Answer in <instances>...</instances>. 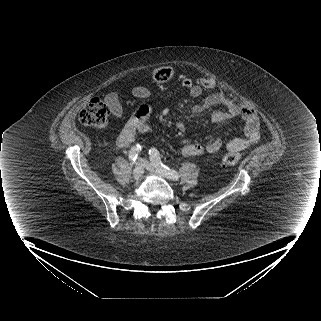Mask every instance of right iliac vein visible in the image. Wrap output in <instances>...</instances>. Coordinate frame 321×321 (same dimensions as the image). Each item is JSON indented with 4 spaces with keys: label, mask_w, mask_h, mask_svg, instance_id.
<instances>
[{
    "label": "right iliac vein",
    "mask_w": 321,
    "mask_h": 321,
    "mask_svg": "<svg viewBox=\"0 0 321 321\" xmlns=\"http://www.w3.org/2000/svg\"><path fill=\"white\" fill-rule=\"evenodd\" d=\"M143 173H144V169L142 164H137L133 170V177L135 179H139L142 177Z\"/></svg>",
    "instance_id": "1"
}]
</instances>
